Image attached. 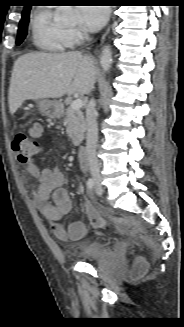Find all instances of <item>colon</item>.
Segmentation results:
<instances>
[{"mask_svg":"<svg viewBox=\"0 0 184 327\" xmlns=\"http://www.w3.org/2000/svg\"><path fill=\"white\" fill-rule=\"evenodd\" d=\"M12 148L17 155L19 162L23 164L30 163L34 157L40 154L41 144L33 137L28 136L25 133H16L12 140ZM86 212L93 227H102L105 225L103 217L91 206L86 207ZM146 264L140 261L135 266V271L138 274H143L146 271Z\"/></svg>","mask_w":184,"mask_h":327,"instance_id":"colon-1","label":"colon"}]
</instances>
